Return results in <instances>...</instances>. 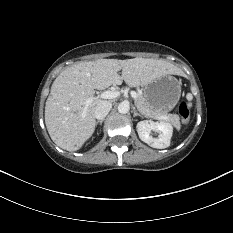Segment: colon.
<instances>
[{
  "label": "colon",
  "instance_id": "5ec220e1",
  "mask_svg": "<svg viewBox=\"0 0 233 233\" xmlns=\"http://www.w3.org/2000/svg\"><path fill=\"white\" fill-rule=\"evenodd\" d=\"M177 111L181 117V120L184 124H186L189 120V117H190V107H189V104L188 102L186 101H182L178 108H177Z\"/></svg>",
  "mask_w": 233,
  "mask_h": 233
}]
</instances>
